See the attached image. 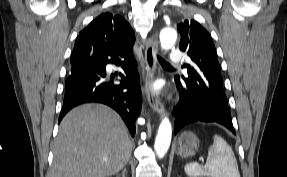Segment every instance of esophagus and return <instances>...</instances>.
Masks as SVG:
<instances>
[{"label":"esophagus","mask_w":287,"mask_h":177,"mask_svg":"<svg viewBox=\"0 0 287 177\" xmlns=\"http://www.w3.org/2000/svg\"><path fill=\"white\" fill-rule=\"evenodd\" d=\"M158 52L157 34H153L147 39L145 48V63H146V82L148 87V102L154 112L159 114L160 117L164 114V105L155 96L152 84L156 71V54Z\"/></svg>","instance_id":"34e87169"}]
</instances>
